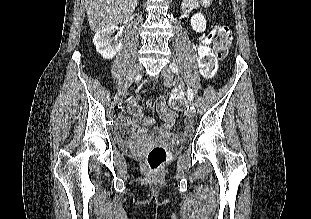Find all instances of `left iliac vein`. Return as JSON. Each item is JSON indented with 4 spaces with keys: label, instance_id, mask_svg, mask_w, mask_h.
<instances>
[{
    "label": "left iliac vein",
    "instance_id": "1",
    "mask_svg": "<svg viewBox=\"0 0 311 219\" xmlns=\"http://www.w3.org/2000/svg\"><path fill=\"white\" fill-rule=\"evenodd\" d=\"M161 74L169 85L173 82V72L168 66H165L162 69ZM188 107L190 113L195 114V106L191 101L189 102Z\"/></svg>",
    "mask_w": 311,
    "mask_h": 219
}]
</instances>
